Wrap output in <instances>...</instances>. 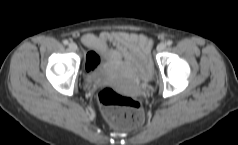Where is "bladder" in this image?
I'll return each instance as SVG.
<instances>
[{
	"mask_svg": "<svg viewBox=\"0 0 238 145\" xmlns=\"http://www.w3.org/2000/svg\"><path fill=\"white\" fill-rule=\"evenodd\" d=\"M89 74L93 79H109L119 90L124 93L131 92V77L119 75L111 71L106 64L92 63L89 67Z\"/></svg>",
	"mask_w": 238,
	"mask_h": 145,
	"instance_id": "31cf9c89",
	"label": "bladder"
}]
</instances>
